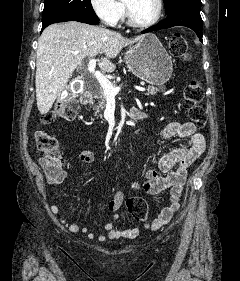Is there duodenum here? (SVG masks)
Wrapping results in <instances>:
<instances>
[{
  "mask_svg": "<svg viewBox=\"0 0 240 281\" xmlns=\"http://www.w3.org/2000/svg\"><path fill=\"white\" fill-rule=\"evenodd\" d=\"M91 101H92V95L90 93H85L81 96L80 102L82 105H88L91 103ZM142 118H143V114L139 109L133 108L130 110L129 112L130 120H139Z\"/></svg>",
  "mask_w": 240,
  "mask_h": 281,
  "instance_id": "obj_1",
  "label": "duodenum"
}]
</instances>
